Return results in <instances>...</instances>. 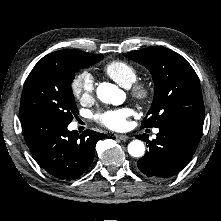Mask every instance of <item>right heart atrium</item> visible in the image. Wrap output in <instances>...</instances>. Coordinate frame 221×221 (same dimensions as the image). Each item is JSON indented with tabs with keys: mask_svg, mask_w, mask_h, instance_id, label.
<instances>
[{
	"mask_svg": "<svg viewBox=\"0 0 221 221\" xmlns=\"http://www.w3.org/2000/svg\"><path fill=\"white\" fill-rule=\"evenodd\" d=\"M94 88L93 76L87 71L76 74L71 82L72 94L81 103H87L93 99Z\"/></svg>",
	"mask_w": 221,
	"mask_h": 221,
	"instance_id": "obj_1",
	"label": "right heart atrium"
}]
</instances>
